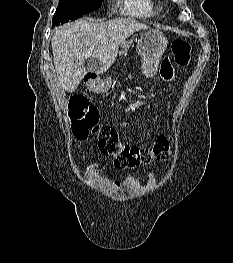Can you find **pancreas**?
<instances>
[{"label":"pancreas","instance_id":"pancreas-1","mask_svg":"<svg viewBox=\"0 0 233 263\" xmlns=\"http://www.w3.org/2000/svg\"><path fill=\"white\" fill-rule=\"evenodd\" d=\"M131 44H132L131 42H123L121 45V48H122L121 53L122 54L126 53L128 49L130 48Z\"/></svg>","mask_w":233,"mask_h":263}]
</instances>
